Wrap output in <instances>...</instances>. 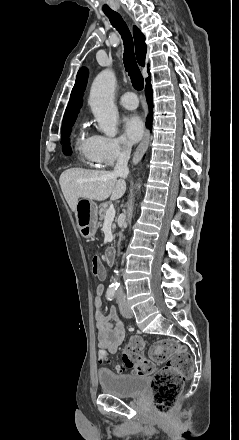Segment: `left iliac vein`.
<instances>
[{
  "instance_id": "left-iliac-vein-1",
  "label": "left iliac vein",
  "mask_w": 239,
  "mask_h": 440,
  "mask_svg": "<svg viewBox=\"0 0 239 440\" xmlns=\"http://www.w3.org/2000/svg\"><path fill=\"white\" fill-rule=\"evenodd\" d=\"M120 312L125 318H131L133 312L125 302H120Z\"/></svg>"
}]
</instances>
